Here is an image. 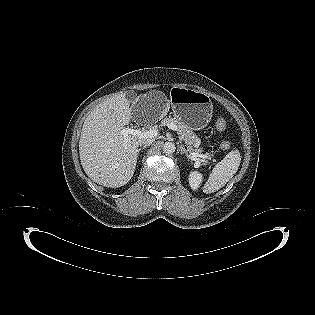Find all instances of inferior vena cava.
<instances>
[{"instance_id": "1", "label": "inferior vena cava", "mask_w": 315, "mask_h": 315, "mask_svg": "<svg viewBox=\"0 0 315 315\" xmlns=\"http://www.w3.org/2000/svg\"><path fill=\"white\" fill-rule=\"evenodd\" d=\"M153 139L151 138H144V139H140L139 140V145H144V146H149V145H151L152 143H153Z\"/></svg>"}]
</instances>
